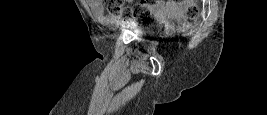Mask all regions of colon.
I'll list each match as a JSON object with an SVG mask.
<instances>
[{"mask_svg": "<svg viewBox=\"0 0 267 115\" xmlns=\"http://www.w3.org/2000/svg\"><path fill=\"white\" fill-rule=\"evenodd\" d=\"M158 0H145L133 6H126L122 0H104V6L108 13L121 22L146 21L150 17L151 8ZM186 6L187 17L196 18L198 8L193 0H176Z\"/></svg>", "mask_w": 267, "mask_h": 115, "instance_id": "1", "label": "colon"}]
</instances>
